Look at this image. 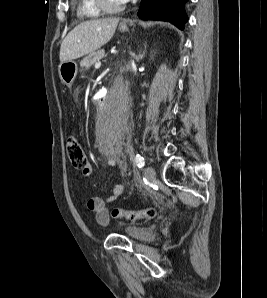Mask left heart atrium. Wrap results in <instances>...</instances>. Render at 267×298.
<instances>
[{
	"instance_id": "1",
	"label": "left heart atrium",
	"mask_w": 267,
	"mask_h": 298,
	"mask_svg": "<svg viewBox=\"0 0 267 298\" xmlns=\"http://www.w3.org/2000/svg\"><path fill=\"white\" fill-rule=\"evenodd\" d=\"M129 0H120L121 3H126L128 2Z\"/></svg>"
}]
</instances>
